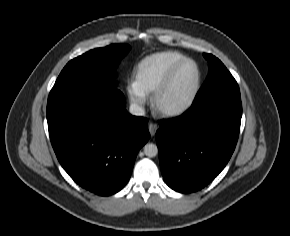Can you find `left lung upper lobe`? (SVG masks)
Segmentation results:
<instances>
[{"label":"left lung upper lobe","instance_id":"1","mask_svg":"<svg viewBox=\"0 0 290 236\" xmlns=\"http://www.w3.org/2000/svg\"><path fill=\"white\" fill-rule=\"evenodd\" d=\"M203 56L208 61L209 71L207 79L198 91L195 100L203 98L222 88L237 84L231 73L218 58L206 53Z\"/></svg>","mask_w":290,"mask_h":236}]
</instances>
